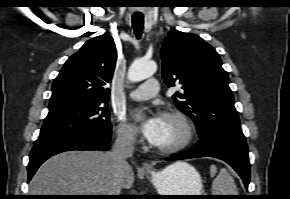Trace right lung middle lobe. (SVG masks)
Returning <instances> with one entry per match:
<instances>
[{"label": "right lung middle lobe", "instance_id": "right-lung-middle-lobe-1", "mask_svg": "<svg viewBox=\"0 0 290 199\" xmlns=\"http://www.w3.org/2000/svg\"><path fill=\"white\" fill-rule=\"evenodd\" d=\"M107 103H88L64 107L48 113L39 137L78 131H110Z\"/></svg>", "mask_w": 290, "mask_h": 199}]
</instances>
